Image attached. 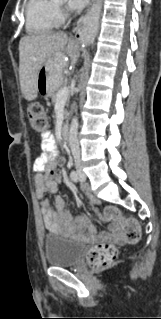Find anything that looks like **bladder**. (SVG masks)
<instances>
[{
  "mask_svg": "<svg viewBox=\"0 0 161 319\" xmlns=\"http://www.w3.org/2000/svg\"><path fill=\"white\" fill-rule=\"evenodd\" d=\"M84 251V244L73 237L48 234L43 241L45 262L50 266L75 265L81 259Z\"/></svg>",
  "mask_w": 161,
  "mask_h": 319,
  "instance_id": "obj_1",
  "label": "bladder"
}]
</instances>
